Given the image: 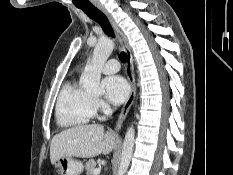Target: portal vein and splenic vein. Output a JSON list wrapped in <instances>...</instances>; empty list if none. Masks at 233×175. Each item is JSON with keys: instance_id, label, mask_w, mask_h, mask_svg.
Instances as JSON below:
<instances>
[{"instance_id": "portal-vein-and-splenic-vein-1", "label": "portal vein and splenic vein", "mask_w": 233, "mask_h": 175, "mask_svg": "<svg viewBox=\"0 0 233 175\" xmlns=\"http://www.w3.org/2000/svg\"><path fill=\"white\" fill-rule=\"evenodd\" d=\"M100 174V169H94L93 175H99Z\"/></svg>"}]
</instances>
